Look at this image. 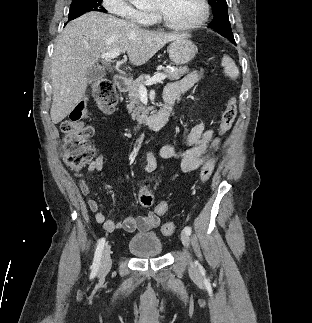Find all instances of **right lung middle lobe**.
Returning a JSON list of instances; mask_svg holds the SVG:
<instances>
[{"instance_id": "dd1d6c3e", "label": "right lung middle lobe", "mask_w": 312, "mask_h": 323, "mask_svg": "<svg viewBox=\"0 0 312 323\" xmlns=\"http://www.w3.org/2000/svg\"><path fill=\"white\" fill-rule=\"evenodd\" d=\"M102 0H72L69 10V20L89 11L107 12L101 5Z\"/></svg>"}]
</instances>
